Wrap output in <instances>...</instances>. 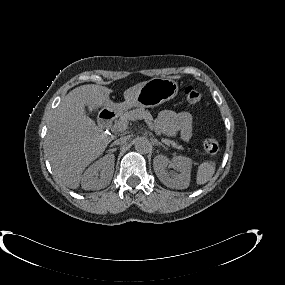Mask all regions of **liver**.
Listing matches in <instances>:
<instances>
[{"label": "liver", "instance_id": "6515ba94", "mask_svg": "<svg viewBox=\"0 0 285 285\" xmlns=\"http://www.w3.org/2000/svg\"><path fill=\"white\" fill-rule=\"evenodd\" d=\"M145 82L124 91L125 103L130 104ZM111 89L88 84L70 91L55 109L45 138V153L56 177L67 187L76 189L85 168L97 159L112 140L85 113L113 104Z\"/></svg>", "mask_w": 285, "mask_h": 285}]
</instances>
